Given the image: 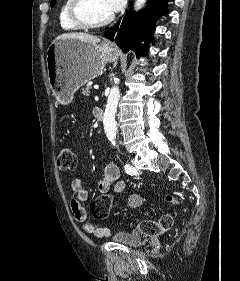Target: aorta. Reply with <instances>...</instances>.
I'll return each instance as SVG.
<instances>
[{"label": "aorta", "mask_w": 240, "mask_h": 281, "mask_svg": "<svg viewBox=\"0 0 240 281\" xmlns=\"http://www.w3.org/2000/svg\"><path fill=\"white\" fill-rule=\"evenodd\" d=\"M146 0H135V10H139L145 4ZM120 97V91L118 86L111 88L108 96L107 105L104 113V131L109 141L114 142L116 139V122L115 114L117 111V105Z\"/></svg>", "instance_id": "obj_1"}]
</instances>
